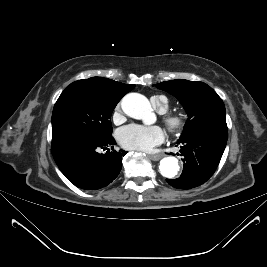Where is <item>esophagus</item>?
<instances>
[{"label": "esophagus", "mask_w": 267, "mask_h": 267, "mask_svg": "<svg viewBox=\"0 0 267 267\" xmlns=\"http://www.w3.org/2000/svg\"><path fill=\"white\" fill-rule=\"evenodd\" d=\"M149 157L153 160V161H158L160 160L162 157H163V154H152V155H149Z\"/></svg>", "instance_id": "obj_1"}]
</instances>
